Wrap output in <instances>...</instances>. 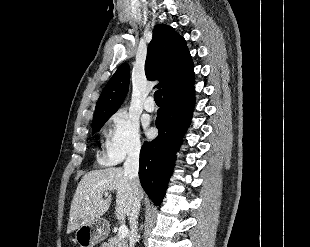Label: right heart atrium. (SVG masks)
<instances>
[{
	"mask_svg": "<svg viewBox=\"0 0 310 247\" xmlns=\"http://www.w3.org/2000/svg\"><path fill=\"white\" fill-rule=\"evenodd\" d=\"M102 161L117 164L129 157H137L142 149L138 122L126 111L119 110L110 118Z\"/></svg>",
	"mask_w": 310,
	"mask_h": 247,
	"instance_id": "right-heart-atrium-1",
	"label": "right heart atrium"
}]
</instances>
